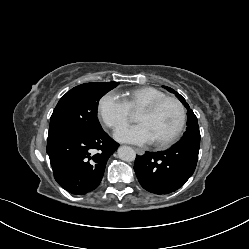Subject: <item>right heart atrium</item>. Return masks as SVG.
Segmentation results:
<instances>
[{
	"mask_svg": "<svg viewBox=\"0 0 249 249\" xmlns=\"http://www.w3.org/2000/svg\"><path fill=\"white\" fill-rule=\"evenodd\" d=\"M97 113L101 121L111 129L124 126L130 117V110L115 93L104 94L97 105Z\"/></svg>",
	"mask_w": 249,
	"mask_h": 249,
	"instance_id": "d8ad5b80",
	"label": "right heart atrium"
}]
</instances>
